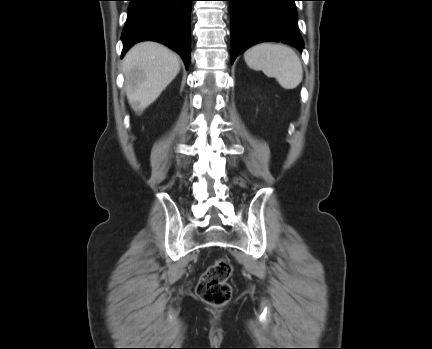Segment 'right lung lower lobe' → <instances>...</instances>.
Here are the masks:
<instances>
[{"instance_id": "right-lung-lower-lobe-1", "label": "right lung lower lobe", "mask_w": 432, "mask_h": 349, "mask_svg": "<svg viewBox=\"0 0 432 349\" xmlns=\"http://www.w3.org/2000/svg\"><path fill=\"white\" fill-rule=\"evenodd\" d=\"M122 32L123 51L137 42L152 40L174 49L186 68L190 62V13L193 0H129Z\"/></svg>"}]
</instances>
